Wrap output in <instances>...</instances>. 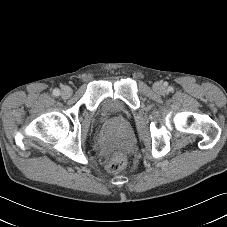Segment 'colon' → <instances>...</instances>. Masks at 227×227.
I'll return each mask as SVG.
<instances>
[{"label":"colon","mask_w":227,"mask_h":227,"mask_svg":"<svg viewBox=\"0 0 227 227\" xmlns=\"http://www.w3.org/2000/svg\"><path fill=\"white\" fill-rule=\"evenodd\" d=\"M126 160L124 154L115 150L111 153L108 161H107V172L111 174H115L120 172L125 166Z\"/></svg>","instance_id":"5ec220e1"}]
</instances>
